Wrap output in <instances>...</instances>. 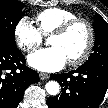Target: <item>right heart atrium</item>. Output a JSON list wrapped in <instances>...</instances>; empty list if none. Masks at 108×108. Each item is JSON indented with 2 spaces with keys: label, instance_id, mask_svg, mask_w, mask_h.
<instances>
[{
  "label": "right heart atrium",
  "instance_id": "1",
  "mask_svg": "<svg viewBox=\"0 0 108 108\" xmlns=\"http://www.w3.org/2000/svg\"><path fill=\"white\" fill-rule=\"evenodd\" d=\"M14 38L18 48L28 53L35 50L43 41L42 34L26 17L15 25Z\"/></svg>",
  "mask_w": 108,
  "mask_h": 108
}]
</instances>
